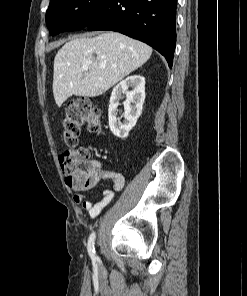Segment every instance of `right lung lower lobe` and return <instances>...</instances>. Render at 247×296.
<instances>
[{"mask_svg": "<svg viewBox=\"0 0 247 296\" xmlns=\"http://www.w3.org/2000/svg\"><path fill=\"white\" fill-rule=\"evenodd\" d=\"M177 0H103L87 26L112 30L145 42L173 64Z\"/></svg>", "mask_w": 247, "mask_h": 296, "instance_id": "right-lung-lower-lobe-1", "label": "right lung lower lobe"}]
</instances>
